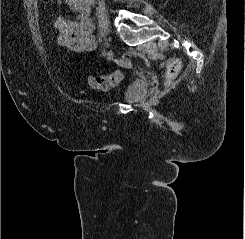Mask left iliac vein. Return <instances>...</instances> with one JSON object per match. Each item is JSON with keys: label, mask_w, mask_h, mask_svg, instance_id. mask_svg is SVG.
<instances>
[{"label": "left iliac vein", "mask_w": 245, "mask_h": 239, "mask_svg": "<svg viewBox=\"0 0 245 239\" xmlns=\"http://www.w3.org/2000/svg\"><path fill=\"white\" fill-rule=\"evenodd\" d=\"M113 57H114V53H113V51L111 49H109L108 52H107V59L109 61H111L113 59Z\"/></svg>", "instance_id": "1"}]
</instances>
